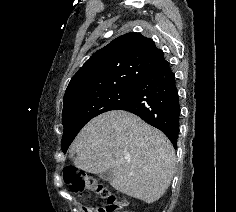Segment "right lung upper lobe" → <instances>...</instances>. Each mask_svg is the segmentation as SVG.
I'll return each mask as SVG.
<instances>
[{
	"label": "right lung upper lobe",
	"instance_id": "cb5924a9",
	"mask_svg": "<svg viewBox=\"0 0 236 212\" xmlns=\"http://www.w3.org/2000/svg\"><path fill=\"white\" fill-rule=\"evenodd\" d=\"M164 59L155 43L140 33H127L95 52L72 77L64 105L93 94L132 87Z\"/></svg>",
	"mask_w": 236,
	"mask_h": 212
}]
</instances>
